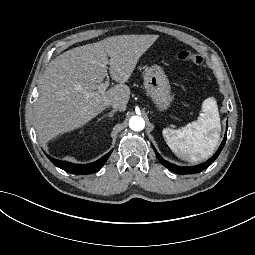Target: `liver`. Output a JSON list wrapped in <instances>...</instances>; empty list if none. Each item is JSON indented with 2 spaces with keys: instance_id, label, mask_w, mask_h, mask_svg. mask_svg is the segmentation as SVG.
Here are the masks:
<instances>
[{
  "instance_id": "liver-1",
  "label": "liver",
  "mask_w": 255,
  "mask_h": 255,
  "mask_svg": "<svg viewBox=\"0 0 255 255\" xmlns=\"http://www.w3.org/2000/svg\"><path fill=\"white\" fill-rule=\"evenodd\" d=\"M158 35H122L71 49L52 60L44 73L35 106V129L42 143L84 127L113 102L125 112L130 99V80L144 53ZM109 58V59H108ZM110 66L118 84L100 93Z\"/></svg>"
}]
</instances>
